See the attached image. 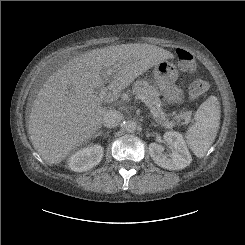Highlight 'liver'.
Segmentation results:
<instances>
[{
  "label": "liver",
  "instance_id": "1",
  "mask_svg": "<svg viewBox=\"0 0 245 245\" xmlns=\"http://www.w3.org/2000/svg\"><path fill=\"white\" fill-rule=\"evenodd\" d=\"M173 54L150 44H121L97 48L77 56L54 72L33 101L28 134L38 154L59 164L99 130L107 108L138 76ZM109 92L99 97L105 83Z\"/></svg>",
  "mask_w": 245,
  "mask_h": 245
}]
</instances>
